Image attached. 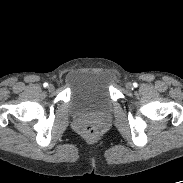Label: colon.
<instances>
[{"label":"colon","instance_id":"colon-1","mask_svg":"<svg viewBox=\"0 0 183 183\" xmlns=\"http://www.w3.org/2000/svg\"><path fill=\"white\" fill-rule=\"evenodd\" d=\"M81 131L86 137L93 138L98 134V126L96 122L88 120L81 125Z\"/></svg>","mask_w":183,"mask_h":183}]
</instances>
